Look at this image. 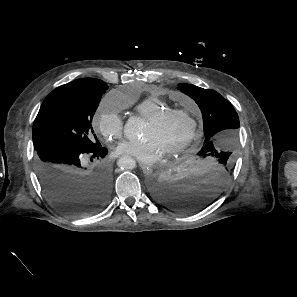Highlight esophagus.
<instances>
[{"mask_svg": "<svg viewBox=\"0 0 297 297\" xmlns=\"http://www.w3.org/2000/svg\"><path fill=\"white\" fill-rule=\"evenodd\" d=\"M139 166H140V168L142 169V171H143L144 173L149 174V173L152 172V168H151L150 166L146 165V164L140 163Z\"/></svg>", "mask_w": 297, "mask_h": 297, "instance_id": "34e87169", "label": "esophagus"}]
</instances>
